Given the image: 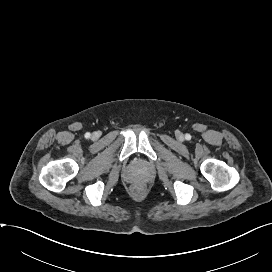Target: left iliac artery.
<instances>
[{"mask_svg":"<svg viewBox=\"0 0 272 272\" xmlns=\"http://www.w3.org/2000/svg\"><path fill=\"white\" fill-rule=\"evenodd\" d=\"M186 138H187V139L189 138V135H188V134L186 135Z\"/></svg>","mask_w":272,"mask_h":272,"instance_id":"left-iliac-artery-1","label":"left iliac artery"}]
</instances>
